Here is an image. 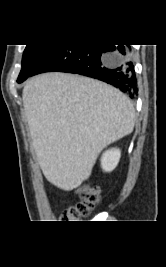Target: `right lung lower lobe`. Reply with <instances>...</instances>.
Here are the masks:
<instances>
[{
  "label": "right lung lower lobe",
  "mask_w": 166,
  "mask_h": 267,
  "mask_svg": "<svg viewBox=\"0 0 166 267\" xmlns=\"http://www.w3.org/2000/svg\"><path fill=\"white\" fill-rule=\"evenodd\" d=\"M51 71L77 73L99 79L131 98L138 94L128 45H55L30 76Z\"/></svg>",
  "instance_id": "1"
}]
</instances>
